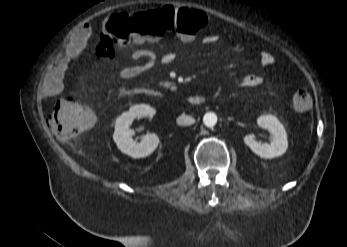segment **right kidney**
<instances>
[{"label": "right kidney", "mask_w": 347, "mask_h": 247, "mask_svg": "<svg viewBox=\"0 0 347 247\" xmlns=\"http://www.w3.org/2000/svg\"><path fill=\"white\" fill-rule=\"evenodd\" d=\"M155 114V110L147 104L135 105L129 111L122 113L115 122L113 140L118 149L133 157L143 158L150 155L158 146L159 138L156 134H147L142 141L137 143L133 140V130L130 125L136 118Z\"/></svg>", "instance_id": "obj_1"}]
</instances>
